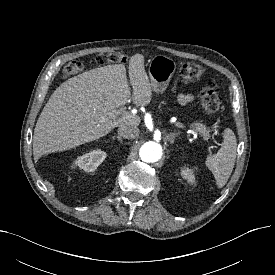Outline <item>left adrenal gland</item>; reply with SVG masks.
Masks as SVG:
<instances>
[{
	"label": "left adrenal gland",
	"instance_id": "obj_1",
	"mask_svg": "<svg viewBox=\"0 0 275 275\" xmlns=\"http://www.w3.org/2000/svg\"><path fill=\"white\" fill-rule=\"evenodd\" d=\"M176 136H178V133H170L166 136V139L170 141L171 144H173Z\"/></svg>",
	"mask_w": 275,
	"mask_h": 275
}]
</instances>
